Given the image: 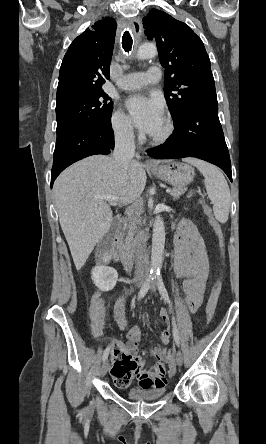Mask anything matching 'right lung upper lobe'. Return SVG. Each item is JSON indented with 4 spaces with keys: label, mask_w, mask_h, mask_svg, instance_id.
I'll use <instances>...</instances> for the list:
<instances>
[{
    "label": "right lung upper lobe",
    "mask_w": 266,
    "mask_h": 444,
    "mask_svg": "<svg viewBox=\"0 0 266 444\" xmlns=\"http://www.w3.org/2000/svg\"><path fill=\"white\" fill-rule=\"evenodd\" d=\"M116 35L111 18L97 21L73 40L61 64L56 99L75 92L102 89Z\"/></svg>",
    "instance_id": "cb5924a9"
}]
</instances>
